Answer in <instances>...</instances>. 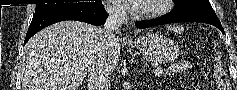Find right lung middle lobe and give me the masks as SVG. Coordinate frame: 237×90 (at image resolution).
<instances>
[{
    "label": "right lung middle lobe",
    "mask_w": 237,
    "mask_h": 90,
    "mask_svg": "<svg viewBox=\"0 0 237 90\" xmlns=\"http://www.w3.org/2000/svg\"><path fill=\"white\" fill-rule=\"evenodd\" d=\"M80 4H90V3H59V4H37L35 13L48 11L58 7L68 6V5H80Z\"/></svg>",
    "instance_id": "dd1d6c3e"
}]
</instances>
